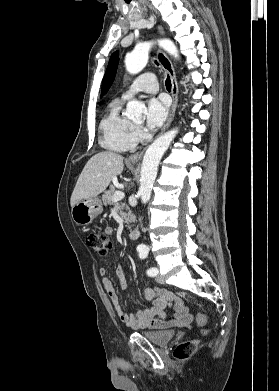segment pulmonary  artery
Segmentation results:
<instances>
[{
    "label": "pulmonary artery",
    "mask_w": 279,
    "mask_h": 391,
    "mask_svg": "<svg viewBox=\"0 0 279 391\" xmlns=\"http://www.w3.org/2000/svg\"><path fill=\"white\" fill-rule=\"evenodd\" d=\"M158 90L157 77L153 72H147L137 79L128 87L122 95L123 99H129L139 92L154 93Z\"/></svg>",
    "instance_id": "pulmonary-artery-1"
}]
</instances>
